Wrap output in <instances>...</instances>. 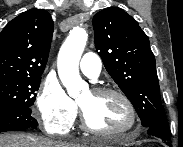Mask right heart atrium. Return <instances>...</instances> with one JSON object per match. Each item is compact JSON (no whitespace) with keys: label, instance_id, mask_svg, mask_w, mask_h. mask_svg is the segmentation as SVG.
Instances as JSON below:
<instances>
[{"label":"right heart atrium","instance_id":"right-heart-atrium-1","mask_svg":"<svg viewBox=\"0 0 183 147\" xmlns=\"http://www.w3.org/2000/svg\"><path fill=\"white\" fill-rule=\"evenodd\" d=\"M36 105L44 128L57 134L67 133L78 114L77 104L54 78L42 82Z\"/></svg>","mask_w":183,"mask_h":147}]
</instances>
